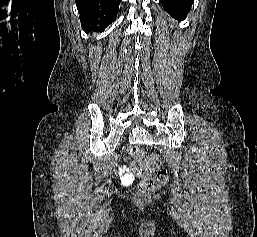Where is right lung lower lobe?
Returning a JSON list of instances; mask_svg holds the SVG:
<instances>
[{
	"mask_svg": "<svg viewBox=\"0 0 257 237\" xmlns=\"http://www.w3.org/2000/svg\"><path fill=\"white\" fill-rule=\"evenodd\" d=\"M85 31H103L117 16L121 0H75Z\"/></svg>",
	"mask_w": 257,
	"mask_h": 237,
	"instance_id": "obj_1",
	"label": "right lung lower lobe"
}]
</instances>
